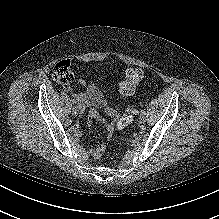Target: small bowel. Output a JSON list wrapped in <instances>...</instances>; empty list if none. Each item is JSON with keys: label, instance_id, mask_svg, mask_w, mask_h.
I'll list each match as a JSON object with an SVG mask.
<instances>
[{"label": "small bowel", "instance_id": "c3829d8e", "mask_svg": "<svg viewBox=\"0 0 219 219\" xmlns=\"http://www.w3.org/2000/svg\"><path fill=\"white\" fill-rule=\"evenodd\" d=\"M81 84L82 85H85V81H81ZM67 90L68 91H71L72 89H71V87H67ZM73 96L78 100V101H81V102H84V103H86V104H89L90 106H97V104H93L92 103V101H91V99L88 97V96H86V95H84V94H73ZM102 151H103V147L102 146H100V147H98V148H96V149H93V150H91V155L93 156V157H98V156H100L101 155V153H102Z\"/></svg>", "mask_w": 219, "mask_h": 219}]
</instances>
